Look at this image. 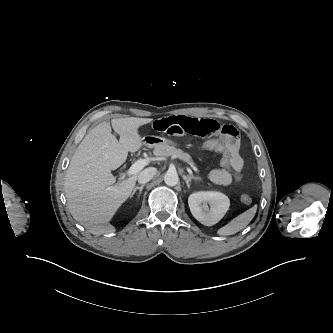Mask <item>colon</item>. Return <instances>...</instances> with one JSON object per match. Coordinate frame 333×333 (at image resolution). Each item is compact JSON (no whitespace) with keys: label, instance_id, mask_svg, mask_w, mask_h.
<instances>
[{"label":"colon","instance_id":"5ec220e1","mask_svg":"<svg viewBox=\"0 0 333 333\" xmlns=\"http://www.w3.org/2000/svg\"><path fill=\"white\" fill-rule=\"evenodd\" d=\"M200 146L203 150L214 152L220 155V163L222 168L230 171L233 175V179L237 181L241 179L240 171H236L234 169V164L231 156L228 150L222 144L214 140H206L202 142ZM241 201L244 204H250L252 202V198L247 194H243L241 196Z\"/></svg>","mask_w":333,"mask_h":333}]
</instances>
